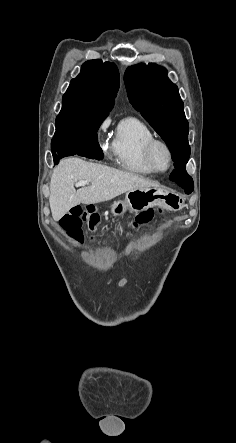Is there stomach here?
<instances>
[{"mask_svg":"<svg viewBox=\"0 0 236 443\" xmlns=\"http://www.w3.org/2000/svg\"><path fill=\"white\" fill-rule=\"evenodd\" d=\"M154 206H162L167 210L177 211L183 207V203L179 196L160 186L138 188L128 191L124 200L114 202L110 211L114 216H121L126 211L140 212Z\"/></svg>","mask_w":236,"mask_h":443,"instance_id":"stomach-1","label":"stomach"}]
</instances>
